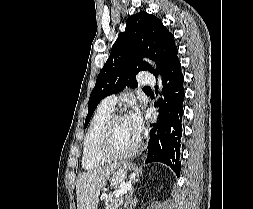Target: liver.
Here are the masks:
<instances>
[{"label": "liver", "mask_w": 253, "mask_h": 209, "mask_svg": "<svg viewBox=\"0 0 253 209\" xmlns=\"http://www.w3.org/2000/svg\"><path fill=\"white\" fill-rule=\"evenodd\" d=\"M118 164L99 167L81 174L76 182L77 209H97L101 189L112 176L118 182L125 178L122 169L117 172Z\"/></svg>", "instance_id": "obj_1"}]
</instances>
